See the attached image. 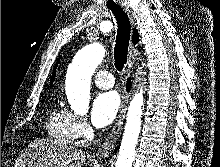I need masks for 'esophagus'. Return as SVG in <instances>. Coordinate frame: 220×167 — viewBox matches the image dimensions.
Here are the masks:
<instances>
[{"instance_id": "esophagus-1", "label": "esophagus", "mask_w": 220, "mask_h": 167, "mask_svg": "<svg viewBox=\"0 0 220 167\" xmlns=\"http://www.w3.org/2000/svg\"><path fill=\"white\" fill-rule=\"evenodd\" d=\"M124 10L129 17L130 23L132 25H134L135 21L133 18V13H132L131 9L129 8V6H124ZM136 54H137V46L131 45V49H130V52L128 55V61H127V64L125 65V69H124V78L125 79L129 76V74L131 72V67L134 62ZM127 103H128V96H127V93L124 89L122 91L121 105H120L118 115L116 117L115 125H114L112 131L110 132V134L108 135V137L106 138L105 142L101 145V148L98 150L97 157L99 159L107 158L114 150V148L117 144V141L121 135L123 121H124L126 108H127Z\"/></svg>"}]
</instances>
